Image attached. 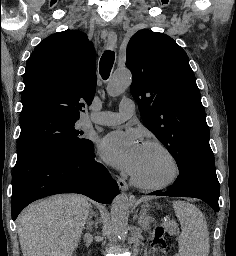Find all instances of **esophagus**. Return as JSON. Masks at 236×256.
Returning a JSON list of instances; mask_svg holds the SVG:
<instances>
[{"label":"esophagus","mask_w":236,"mask_h":256,"mask_svg":"<svg viewBox=\"0 0 236 256\" xmlns=\"http://www.w3.org/2000/svg\"><path fill=\"white\" fill-rule=\"evenodd\" d=\"M108 43H109L110 47H115V45L117 43L116 33H110L108 35ZM118 186L121 189V191H128V185L123 178L118 179Z\"/></svg>","instance_id":"esophagus-1"}]
</instances>
